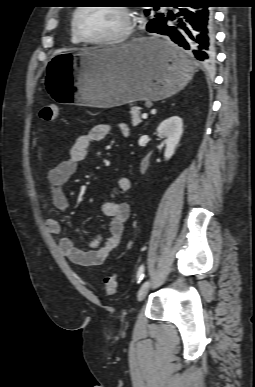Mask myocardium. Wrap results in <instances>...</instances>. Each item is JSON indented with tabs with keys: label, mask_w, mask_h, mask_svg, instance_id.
<instances>
[{
	"label": "myocardium",
	"mask_w": 255,
	"mask_h": 387,
	"mask_svg": "<svg viewBox=\"0 0 255 387\" xmlns=\"http://www.w3.org/2000/svg\"><path fill=\"white\" fill-rule=\"evenodd\" d=\"M87 7H90V6L81 5L77 7L73 12V16L71 20L72 32L80 42L85 44H90V45H114V44H120L127 41L133 34L134 27H135L134 13L127 6L116 4L110 7H114L115 9L120 11L121 14L124 16L125 26L122 29V31L114 36L102 38V39H91L84 36L78 27L77 20H78L79 13Z\"/></svg>",
	"instance_id": "myocardium-1"
}]
</instances>
